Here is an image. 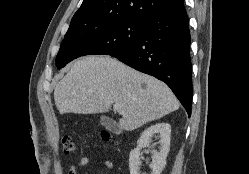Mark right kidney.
<instances>
[{
    "label": "right kidney",
    "mask_w": 249,
    "mask_h": 174,
    "mask_svg": "<svg viewBox=\"0 0 249 174\" xmlns=\"http://www.w3.org/2000/svg\"><path fill=\"white\" fill-rule=\"evenodd\" d=\"M158 134L160 141V150L153 151L152 163L150 168L152 174H161L166 165V158L170 149V136L171 126L168 123H156L155 125L147 128L139 138L137 147L130 152L129 155V168L130 174H139L140 161V150L152 141V137Z\"/></svg>",
    "instance_id": "obj_1"
}]
</instances>
